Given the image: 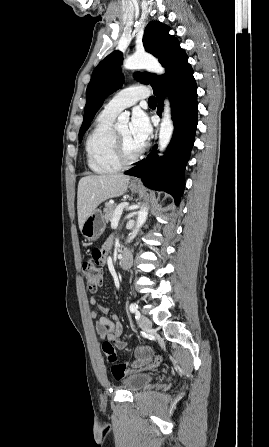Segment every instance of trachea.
I'll list each match as a JSON object with an SVG mask.
<instances>
[{"mask_svg": "<svg viewBox=\"0 0 269 447\" xmlns=\"http://www.w3.org/2000/svg\"><path fill=\"white\" fill-rule=\"evenodd\" d=\"M149 105H156L157 101L155 97H150L148 100Z\"/></svg>", "mask_w": 269, "mask_h": 447, "instance_id": "obj_1", "label": "trachea"}]
</instances>
